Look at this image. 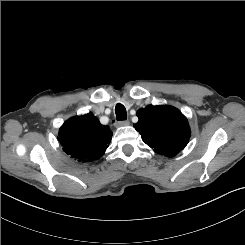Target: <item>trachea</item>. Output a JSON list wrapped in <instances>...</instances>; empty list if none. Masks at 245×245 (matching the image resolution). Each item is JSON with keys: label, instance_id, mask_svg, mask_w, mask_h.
Returning a JSON list of instances; mask_svg holds the SVG:
<instances>
[{"label": "trachea", "instance_id": "obj_1", "mask_svg": "<svg viewBox=\"0 0 245 245\" xmlns=\"http://www.w3.org/2000/svg\"><path fill=\"white\" fill-rule=\"evenodd\" d=\"M115 113L118 120H126L127 112L122 104H117L115 107Z\"/></svg>", "mask_w": 245, "mask_h": 245}]
</instances>
